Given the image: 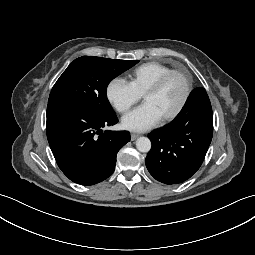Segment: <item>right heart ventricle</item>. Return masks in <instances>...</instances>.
Returning <instances> with one entry per match:
<instances>
[{
    "mask_svg": "<svg viewBox=\"0 0 255 255\" xmlns=\"http://www.w3.org/2000/svg\"><path fill=\"white\" fill-rule=\"evenodd\" d=\"M171 68L159 62H147L136 67L129 75V83L139 95Z\"/></svg>",
    "mask_w": 255,
    "mask_h": 255,
    "instance_id": "e07e8e85",
    "label": "right heart ventricle"
}]
</instances>
